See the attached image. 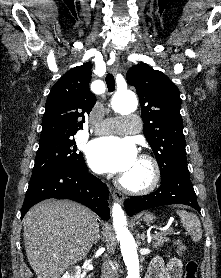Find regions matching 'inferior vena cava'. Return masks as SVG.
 <instances>
[{
  "instance_id": "602c4592",
  "label": "inferior vena cava",
  "mask_w": 221,
  "mask_h": 278,
  "mask_svg": "<svg viewBox=\"0 0 221 278\" xmlns=\"http://www.w3.org/2000/svg\"><path fill=\"white\" fill-rule=\"evenodd\" d=\"M117 264L108 260L103 263L101 278H117Z\"/></svg>"
}]
</instances>
